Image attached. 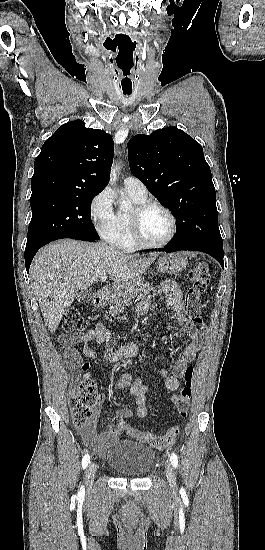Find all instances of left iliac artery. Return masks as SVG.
<instances>
[{
    "label": "left iliac artery",
    "instance_id": "left-iliac-artery-1",
    "mask_svg": "<svg viewBox=\"0 0 265 550\" xmlns=\"http://www.w3.org/2000/svg\"><path fill=\"white\" fill-rule=\"evenodd\" d=\"M170 461H171V464L173 465L174 468L178 467V458H177V455L175 453L171 454Z\"/></svg>",
    "mask_w": 265,
    "mask_h": 550
}]
</instances>
